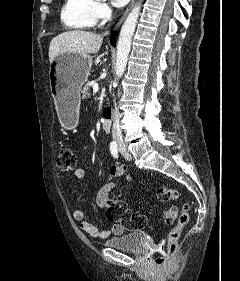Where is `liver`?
I'll return each mask as SVG.
<instances>
[{
    "mask_svg": "<svg viewBox=\"0 0 240 281\" xmlns=\"http://www.w3.org/2000/svg\"><path fill=\"white\" fill-rule=\"evenodd\" d=\"M103 43V37L83 30H71L54 37L49 46V61L52 63L59 55L78 53L89 55L97 53Z\"/></svg>",
    "mask_w": 240,
    "mask_h": 281,
    "instance_id": "liver-1",
    "label": "liver"
}]
</instances>
